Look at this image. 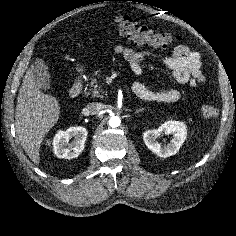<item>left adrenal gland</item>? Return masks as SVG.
<instances>
[{"instance_id": "a2214340", "label": "left adrenal gland", "mask_w": 236, "mask_h": 236, "mask_svg": "<svg viewBox=\"0 0 236 236\" xmlns=\"http://www.w3.org/2000/svg\"><path fill=\"white\" fill-rule=\"evenodd\" d=\"M142 111H143V109H138V110L135 111V114L139 113V112H142Z\"/></svg>"}]
</instances>
